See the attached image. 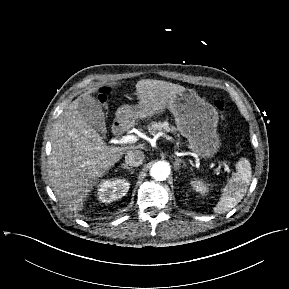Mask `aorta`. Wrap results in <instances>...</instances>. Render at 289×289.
<instances>
[{
	"instance_id": "obj_1",
	"label": "aorta",
	"mask_w": 289,
	"mask_h": 289,
	"mask_svg": "<svg viewBox=\"0 0 289 289\" xmlns=\"http://www.w3.org/2000/svg\"><path fill=\"white\" fill-rule=\"evenodd\" d=\"M170 174L169 163L165 161H158L153 164L150 169V175L157 181L165 180Z\"/></svg>"
}]
</instances>
